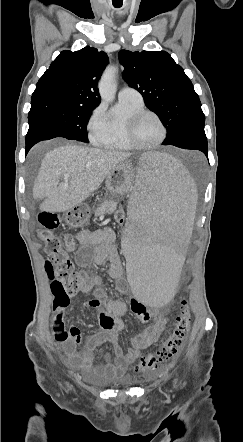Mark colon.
<instances>
[{
  "mask_svg": "<svg viewBox=\"0 0 243 442\" xmlns=\"http://www.w3.org/2000/svg\"><path fill=\"white\" fill-rule=\"evenodd\" d=\"M125 219V214L119 213L116 221L117 226H124ZM38 220L41 225L38 230V238L45 244L46 252L49 255V259L45 263V270L51 280V291L54 296L53 308H67L70 298L79 293L90 292L96 285V279L84 270L75 269L72 264L69 253L73 250L75 241L71 236H67L63 242L54 233L60 223L58 215L50 211H42ZM180 306V314L176 317L161 344L138 360L134 366L135 372L155 370L161 363L176 354L191 324L190 299H181Z\"/></svg>",
  "mask_w": 243,
  "mask_h": 442,
  "instance_id": "obj_1",
  "label": "colon"
}]
</instances>
